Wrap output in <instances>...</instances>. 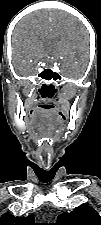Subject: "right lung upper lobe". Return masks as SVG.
<instances>
[{"label":"right lung upper lobe","mask_w":101,"mask_h":225,"mask_svg":"<svg viewBox=\"0 0 101 225\" xmlns=\"http://www.w3.org/2000/svg\"><path fill=\"white\" fill-rule=\"evenodd\" d=\"M0 225H36L34 224V217L29 215L27 217H15L12 214H3L0 218Z\"/></svg>","instance_id":"1"}]
</instances>
